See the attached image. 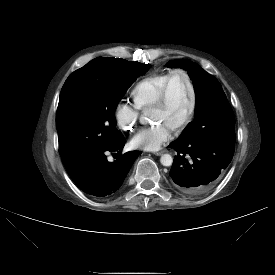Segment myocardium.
I'll use <instances>...</instances> for the list:
<instances>
[{"label":"myocardium","instance_id":"obj_1","mask_svg":"<svg viewBox=\"0 0 275 275\" xmlns=\"http://www.w3.org/2000/svg\"><path fill=\"white\" fill-rule=\"evenodd\" d=\"M179 74L184 76V78L186 79V82L188 84L189 91H190V104H189V108H188L186 116L184 117V119L182 121H180L174 127L175 130H182L183 128H185L192 121L193 116L195 114L196 105H197V93H196V88H195V85H194L191 75L184 69L178 68V69L172 70L169 73L163 87L161 88V91L158 95L156 102L152 106V108H161L166 105V103L168 101L171 81L175 75H179Z\"/></svg>","mask_w":275,"mask_h":275}]
</instances>
